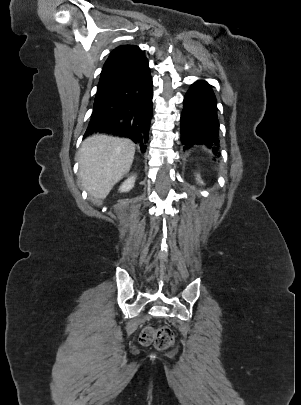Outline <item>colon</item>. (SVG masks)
Segmentation results:
<instances>
[{
	"mask_svg": "<svg viewBox=\"0 0 301 405\" xmlns=\"http://www.w3.org/2000/svg\"><path fill=\"white\" fill-rule=\"evenodd\" d=\"M139 341L143 346L153 345L157 350H166L174 344L175 336L169 327H147L142 330Z\"/></svg>",
	"mask_w": 301,
	"mask_h": 405,
	"instance_id": "1",
	"label": "colon"
}]
</instances>
